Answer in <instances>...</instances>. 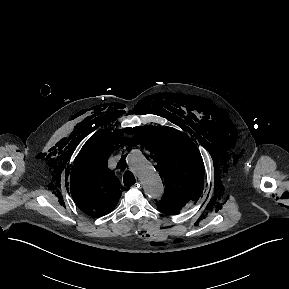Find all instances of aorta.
I'll return each mask as SVG.
<instances>
[{
	"instance_id": "1",
	"label": "aorta",
	"mask_w": 289,
	"mask_h": 289,
	"mask_svg": "<svg viewBox=\"0 0 289 289\" xmlns=\"http://www.w3.org/2000/svg\"><path fill=\"white\" fill-rule=\"evenodd\" d=\"M128 166L140 179L144 193L153 199L161 198L164 192V185L155 168L146 160L138 150H132L126 157Z\"/></svg>"
}]
</instances>
